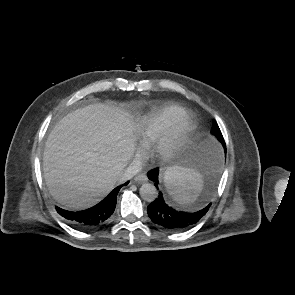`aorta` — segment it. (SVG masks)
I'll list each match as a JSON object with an SVG mask.
<instances>
[{
	"mask_svg": "<svg viewBox=\"0 0 295 295\" xmlns=\"http://www.w3.org/2000/svg\"><path fill=\"white\" fill-rule=\"evenodd\" d=\"M140 196L143 200L152 202L158 197V191L153 184L144 183L140 187Z\"/></svg>",
	"mask_w": 295,
	"mask_h": 295,
	"instance_id": "762f6f07",
	"label": "aorta"
}]
</instances>
